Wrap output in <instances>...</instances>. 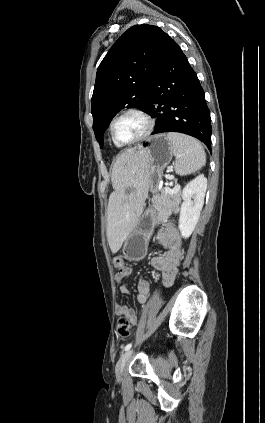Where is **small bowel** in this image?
<instances>
[{"label": "small bowel", "instance_id": "1", "mask_svg": "<svg viewBox=\"0 0 265 423\" xmlns=\"http://www.w3.org/2000/svg\"><path fill=\"white\" fill-rule=\"evenodd\" d=\"M157 241L167 249L163 254L155 255L151 258V266L160 271L162 274V283L165 287H170L177 275L178 266L180 265L184 252L182 250V239L172 223H166L156 233ZM132 273L130 267L124 265L120 271L116 270L115 279L120 283V291L122 294H129V287L125 279ZM151 291L150 282L146 279H141L137 283V301L140 304L148 302ZM115 313L117 316H124L128 319L131 325L138 323L137 313L126 305L117 304L115 306Z\"/></svg>", "mask_w": 265, "mask_h": 423}]
</instances>
